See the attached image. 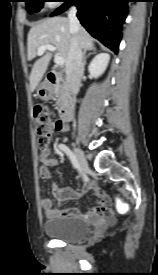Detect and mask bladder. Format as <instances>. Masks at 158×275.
Segmentation results:
<instances>
[{
  "instance_id": "31cf9c89",
  "label": "bladder",
  "mask_w": 158,
  "mask_h": 275,
  "mask_svg": "<svg viewBox=\"0 0 158 275\" xmlns=\"http://www.w3.org/2000/svg\"><path fill=\"white\" fill-rule=\"evenodd\" d=\"M43 229L51 238L72 242L85 238L90 231V226L83 218L58 215L45 220Z\"/></svg>"
}]
</instances>
